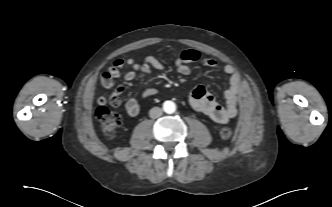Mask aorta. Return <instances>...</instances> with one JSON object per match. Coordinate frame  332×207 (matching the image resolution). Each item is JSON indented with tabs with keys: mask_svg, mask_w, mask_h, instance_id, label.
Wrapping results in <instances>:
<instances>
[{
	"mask_svg": "<svg viewBox=\"0 0 332 207\" xmlns=\"http://www.w3.org/2000/svg\"><path fill=\"white\" fill-rule=\"evenodd\" d=\"M163 110L167 114H172L176 111V105L173 101H165L163 103Z\"/></svg>",
	"mask_w": 332,
	"mask_h": 207,
	"instance_id": "obj_1",
	"label": "aorta"
}]
</instances>
